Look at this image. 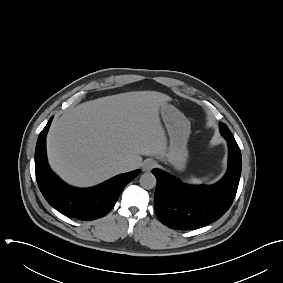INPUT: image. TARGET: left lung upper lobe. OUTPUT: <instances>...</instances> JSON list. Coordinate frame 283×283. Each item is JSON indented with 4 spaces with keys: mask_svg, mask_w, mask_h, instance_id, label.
<instances>
[{
    "mask_svg": "<svg viewBox=\"0 0 283 283\" xmlns=\"http://www.w3.org/2000/svg\"><path fill=\"white\" fill-rule=\"evenodd\" d=\"M219 126H220V131H221L223 136H233L231 134L230 130L228 129V127L226 126V124L220 122Z\"/></svg>",
    "mask_w": 283,
    "mask_h": 283,
    "instance_id": "obj_1",
    "label": "left lung upper lobe"
}]
</instances>
